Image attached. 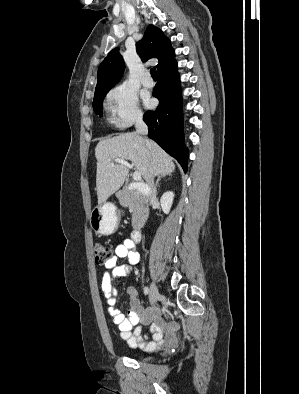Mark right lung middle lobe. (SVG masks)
<instances>
[{
    "label": "right lung middle lobe",
    "mask_w": 299,
    "mask_h": 394,
    "mask_svg": "<svg viewBox=\"0 0 299 394\" xmlns=\"http://www.w3.org/2000/svg\"><path fill=\"white\" fill-rule=\"evenodd\" d=\"M108 91L109 90H105V91H101V92L94 94L93 109L100 116H102L103 99H104L105 95L108 93Z\"/></svg>",
    "instance_id": "dd1d6c3e"
}]
</instances>
